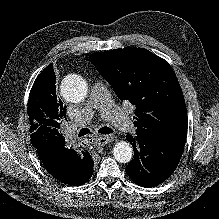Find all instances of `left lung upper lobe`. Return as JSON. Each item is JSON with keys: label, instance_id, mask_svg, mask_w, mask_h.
<instances>
[{"label": "left lung upper lobe", "instance_id": "left-lung-upper-lobe-1", "mask_svg": "<svg viewBox=\"0 0 219 219\" xmlns=\"http://www.w3.org/2000/svg\"><path fill=\"white\" fill-rule=\"evenodd\" d=\"M118 98L136 106L137 136L185 145L187 111L169 63L144 48L95 52L89 57Z\"/></svg>", "mask_w": 219, "mask_h": 219}]
</instances>
